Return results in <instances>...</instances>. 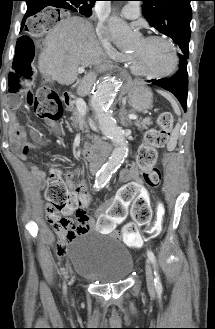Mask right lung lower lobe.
I'll return each instance as SVG.
<instances>
[{
    "mask_svg": "<svg viewBox=\"0 0 215 329\" xmlns=\"http://www.w3.org/2000/svg\"><path fill=\"white\" fill-rule=\"evenodd\" d=\"M26 3H27V12H26V15L23 19L22 27H23V24H24L27 17L32 16V15L36 14L37 12H39L43 9V4L45 3V1H42V0H26Z\"/></svg>",
    "mask_w": 215,
    "mask_h": 329,
    "instance_id": "1",
    "label": "right lung lower lobe"
}]
</instances>
